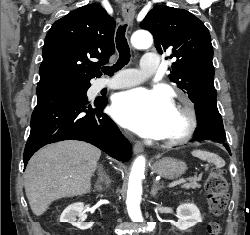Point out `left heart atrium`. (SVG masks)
<instances>
[{
	"instance_id": "39dd6f15",
	"label": "left heart atrium",
	"mask_w": 250,
	"mask_h": 235,
	"mask_svg": "<svg viewBox=\"0 0 250 235\" xmlns=\"http://www.w3.org/2000/svg\"><path fill=\"white\" fill-rule=\"evenodd\" d=\"M174 111L170 96L160 89L136 88L119 93L112 105L114 119L143 136L160 138Z\"/></svg>"
}]
</instances>
